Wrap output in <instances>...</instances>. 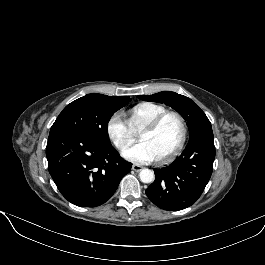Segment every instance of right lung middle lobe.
<instances>
[{"mask_svg":"<svg viewBox=\"0 0 265 265\" xmlns=\"http://www.w3.org/2000/svg\"><path fill=\"white\" fill-rule=\"evenodd\" d=\"M131 99L119 103H107L86 95L68 104L51 127L50 134L63 130H74L110 143L108 122L112 115Z\"/></svg>","mask_w":265,"mask_h":265,"instance_id":"obj_1","label":"right lung middle lobe"}]
</instances>
